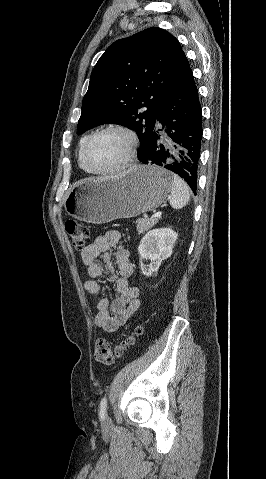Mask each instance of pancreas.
I'll return each mask as SVG.
<instances>
[{"label": "pancreas", "instance_id": "obj_1", "mask_svg": "<svg viewBox=\"0 0 266 479\" xmlns=\"http://www.w3.org/2000/svg\"><path fill=\"white\" fill-rule=\"evenodd\" d=\"M159 218H139L136 220V227L138 233H145L147 230L152 228L155 224H157Z\"/></svg>", "mask_w": 266, "mask_h": 479}]
</instances>
